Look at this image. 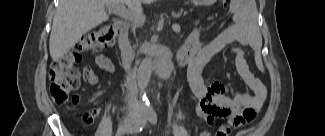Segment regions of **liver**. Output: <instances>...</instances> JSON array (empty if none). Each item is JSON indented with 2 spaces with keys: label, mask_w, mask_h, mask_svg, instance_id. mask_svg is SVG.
<instances>
[{
  "label": "liver",
  "mask_w": 325,
  "mask_h": 136,
  "mask_svg": "<svg viewBox=\"0 0 325 136\" xmlns=\"http://www.w3.org/2000/svg\"><path fill=\"white\" fill-rule=\"evenodd\" d=\"M154 0H60L53 18L49 50L54 61L61 59L83 34L108 19L105 7L128 4L130 9L140 12V4Z\"/></svg>",
  "instance_id": "liver-1"
}]
</instances>
